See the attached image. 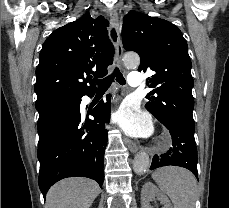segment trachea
I'll return each instance as SVG.
<instances>
[{
	"mask_svg": "<svg viewBox=\"0 0 229 208\" xmlns=\"http://www.w3.org/2000/svg\"><path fill=\"white\" fill-rule=\"evenodd\" d=\"M111 37H112L113 41L116 42L117 35H116L114 28L111 30ZM114 79H116V81L120 85H125V83H126L124 76L120 72L119 68L116 67L111 75L107 76L106 78H103V80H98V82H97L98 91L108 90V88L110 87V85L114 81Z\"/></svg>",
	"mask_w": 229,
	"mask_h": 208,
	"instance_id": "1",
	"label": "trachea"
}]
</instances>
